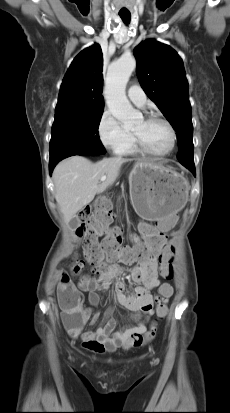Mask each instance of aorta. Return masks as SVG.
I'll return each mask as SVG.
<instances>
[{
	"label": "aorta",
	"instance_id": "762f6f07",
	"mask_svg": "<svg viewBox=\"0 0 230 413\" xmlns=\"http://www.w3.org/2000/svg\"><path fill=\"white\" fill-rule=\"evenodd\" d=\"M136 68L135 58L132 56H122L109 67L106 86L105 99L109 111L124 126L132 125L137 118H142L128 101L125 93L127 82Z\"/></svg>",
	"mask_w": 230,
	"mask_h": 413
}]
</instances>
